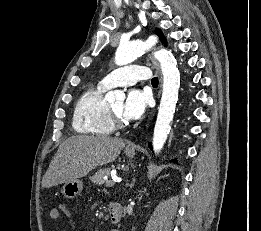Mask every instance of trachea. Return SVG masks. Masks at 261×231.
<instances>
[{
  "mask_svg": "<svg viewBox=\"0 0 261 231\" xmlns=\"http://www.w3.org/2000/svg\"><path fill=\"white\" fill-rule=\"evenodd\" d=\"M152 85H158V78L157 77H154L152 78Z\"/></svg>",
  "mask_w": 261,
  "mask_h": 231,
  "instance_id": "1",
  "label": "trachea"
}]
</instances>
